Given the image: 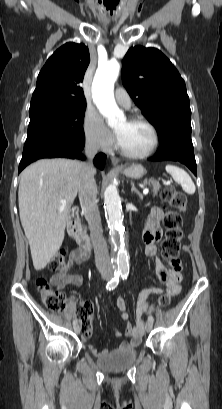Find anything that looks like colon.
<instances>
[{"instance_id":"obj_1","label":"colon","mask_w":222,"mask_h":409,"mask_svg":"<svg viewBox=\"0 0 222 409\" xmlns=\"http://www.w3.org/2000/svg\"><path fill=\"white\" fill-rule=\"evenodd\" d=\"M161 198L169 206V209L166 210L163 217L165 236L161 245L163 255L169 259L170 256H179L181 240L183 238L181 212L185 211L187 208V198L184 193L169 185L162 188ZM65 265L66 251L60 250L52 258L49 267L51 270L60 271ZM36 285L47 309L53 312H61L65 309L66 298L64 294L55 290L45 278H38L36 280ZM170 299V294H163L158 300V306H167ZM155 310L156 307L149 306L146 313L152 314L155 313ZM77 317L81 322L83 336L89 337L92 333L93 322L91 306L89 304L80 305L77 308Z\"/></svg>"}]
</instances>
